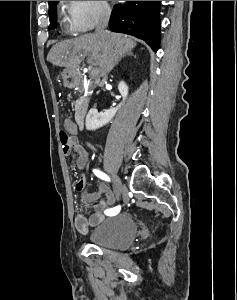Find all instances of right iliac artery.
Instances as JSON below:
<instances>
[{
	"instance_id": "right-iliac-artery-1",
	"label": "right iliac artery",
	"mask_w": 237,
	"mask_h": 300,
	"mask_svg": "<svg viewBox=\"0 0 237 300\" xmlns=\"http://www.w3.org/2000/svg\"><path fill=\"white\" fill-rule=\"evenodd\" d=\"M93 172H94V174H95L97 177L101 178L102 180L110 181V178H109L105 173H103V172H101V171H99V170H96V169H94ZM120 209H121V207H120V206H117V207H114V208H111V209L106 210L105 213H107V212H112V211H116V210L119 211ZM109 210H110V211H109Z\"/></svg>"
}]
</instances>
